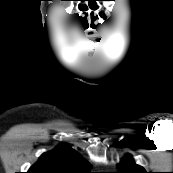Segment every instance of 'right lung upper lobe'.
I'll return each mask as SVG.
<instances>
[{
  "mask_svg": "<svg viewBox=\"0 0 173 173\" xmlns=\"http://www.w3.org/2000/svg\"><path fill=\"white\" fill-rule=\"evenodd\" d=\"M90 168L76 151L60 145L42 154L27 173H89Z\"/></svg>",
  "mask_w": 173,
  "mask_h": 173,
  "instance_id": "right-lung-upper-lobe-1",
  "label": "right lung upper lobe"
}]
</instances>
